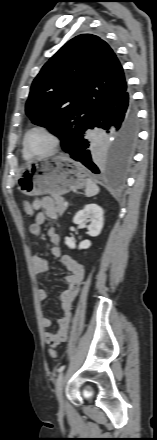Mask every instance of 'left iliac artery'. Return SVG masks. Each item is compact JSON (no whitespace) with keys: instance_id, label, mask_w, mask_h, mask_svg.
Listing matches in <instances>:
<instances>
[{"instance_id":"1","label":"left iliac artery","mask_w":157,"mask_h":440,"mask_svg":"<svg viewBox=\"0 0 157 440\" xmlns=\"http://www.w3.org/2000/svg\"><path fill=\"white\" fill-rule=\"evenodd\" d=\"M64 369H65V366L63 365V366H61L57 371L60 373V372H62Z\"/></svg>"}]
</instances>
